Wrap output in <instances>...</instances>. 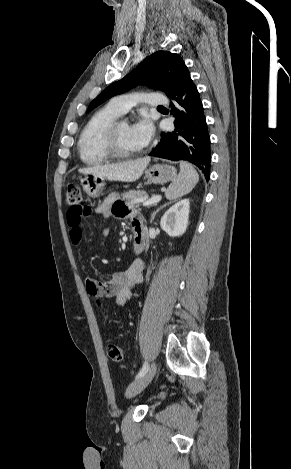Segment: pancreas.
<instances>
[{
    "mask_svg": "<svg viewBox=\"0 0 291 469\" xmlns=\"http://www.w3.org/2000/svg\"><path fill=\"white\" fill-rule=\"evenodd\" d=\"M146 196L145 191H135V190H130L128 192H125L122 194V199L129 205L130 207H137L139 205L138 200ZM148 206H152L148 205Z\"/></svg>",
    "mask_w": 291,
    "mask_h": 469,
    "instance_id": "pancreas-1",
    "label": "pancreas"
}]
</instances>
